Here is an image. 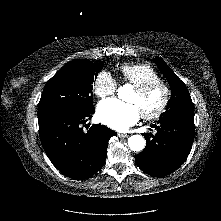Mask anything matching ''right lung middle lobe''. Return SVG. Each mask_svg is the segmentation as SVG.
<instances>
[{
	"mask_svg": "<svg viewBox=\"0 0 221 221\" xmlns=\"http://www.w3.org/2000/svg\"><path fill=\"white\" fill-rule=\"evenodd\" d=\"M102 66L77 59L65 64L46 83L38 104V118L92 107L93 82Z\"/></svg>",
	"mask_w": 221,
	"mask_h": 221,
	"instance_id": "obj_1",
	"label": "right lung middle lobe"
}]
</instances>
